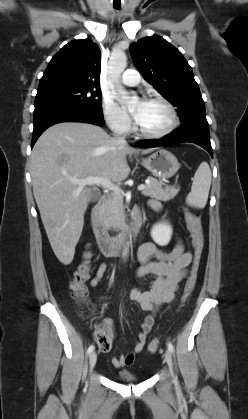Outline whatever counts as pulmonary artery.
Masks as SVG:
<instances>
[{
	"label": "pulmonary artery",
	"mask_w": 248,
	"mask_h": 419,
	"mask_svg": "<svg viewBox=\"0 0 248 419\" xmlns=\"http://www.w3.org/2000/svg\"><path fill=\"white\" fill-rule=\"evenodd\" d=\"M121 81L126 86H136L140 82V74L137 70L127 69L123 73Z\"/></svg>",
	"instance_id": "pulmonary-artery-1"
}]
</instances>
